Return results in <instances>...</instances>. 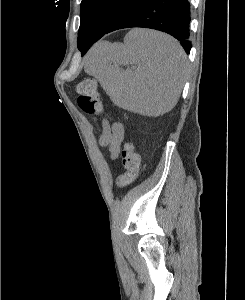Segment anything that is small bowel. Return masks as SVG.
I'll use <instances>...</instances> for the list:
<instances>
[{
	"instance_id": "c3829d8e",
	"label": "small bowel",
	"mask_w": 245,
	"mask_h": 300,
	"mask_svg": "<svg viewBox=\"0 0 245 300\" xmlns=\"http://www.w3.org/2000/svg\"><path fill=\"white\" fill-rule=\"evenodd\" d=\"M99 144L109 151L110 159L116 160L121 152V144L125 135V128L121 122H109L103 118L99 125Z\"/></svg>"
}]
</instances>
